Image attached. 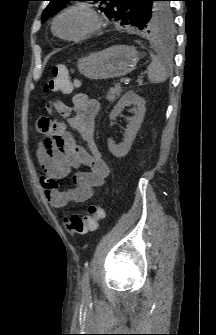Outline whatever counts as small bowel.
Instances as JSON below:
<instances>
[{"instance_id":"small-bowel-1","label":"small bowel","mask_w":216,"mask_h":335,"mask_svg":"<svg viewBox=\"0 0 216 335\" xmlns=\"http://www.w3.org/2000/svg\"><path fill=\"white\" fill-rule=\"evenodd\" d=\"M49 99L53 115H62L66 123L46 117L37 120V134L45 138L37 146L36 154L42 169L40 183L44 193L52 207L63 208L70 203L90 200L95 189L105 183L109 168L95 141L99 102L83 93L75 94L72 104H64L62 98L49 96ZM69 128L79 134L85 147L77 144ZM73 169L77 170L72 178L74 186L61 190L59 181Z\"/></svg>"}]
</instances>
